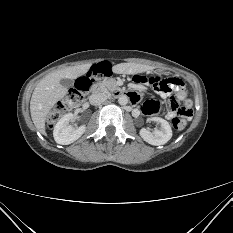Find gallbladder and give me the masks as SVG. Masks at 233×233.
<instances>
[{"mask_svg": "<svg viewBox=\"0 0 233 233\" xmlns=\"http://www.w3.org/2000/svg\"><path fill=\"white\" fill-rule=\"evenodd\" d=\"M60 83L65 88H69V87H71L73 85V80L67 79V78H63V79L60 80Z\"/></svg>", "mask_w": 233, "mask_h": 233, "instance_id": "1", "label": "gallbladder"}]
</instances>
